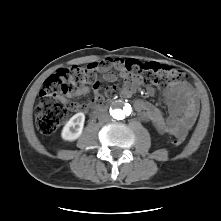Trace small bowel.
Listing matches in <instances>:
<instances>
[{"label": "small bowel", "mask_w": 221, "mask_h": 221, "mask_svg": "<svg viewBox=\"0 0 221 221\" xmlns=\"http://www.w3.org/2000/svg\"><path fill=\"white\" fill-rule=\"evenodd\" d=\"M114 67L119 71V77L122 79L121 95L130 97L136 89L137 81L133 79L126 71L124 61L121 59H109L102 63L99 67L101 80L105 82H115L117 75L111 71ZM100 82L89 87H81L72 92L68 97L74 98L88 94L91 90L98 92ZM149 95L154 94L153 88H148ZM163 99L168 106L169 116L164 117L163 112L156 106L142 100H134V107L140 119L151 122L153 126L163 134L184 137L193 127L198 114V100L192 87L183 81H179L166 89L163 94ZM102 97L97 95L89 105L84 106L74 102H68L69 109L86 112L89 108L98 105Z\"/></svg>", "instance_id": "c3829d8e"}]
</instances>
